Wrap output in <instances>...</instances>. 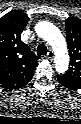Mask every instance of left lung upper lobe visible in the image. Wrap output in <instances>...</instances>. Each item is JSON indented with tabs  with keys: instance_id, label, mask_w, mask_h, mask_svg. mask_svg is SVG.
<instances>
[{
	"instance_id": "5c2ea615",
	"label": "left lung upper lobe",
	"mask_w": 81,
	"mask_h": 124,
	"mask_svg": "<svg viewBox=\"0 0 81 124\" xmlns=\"http://www.w3.org/2000/svg\"><path fill=\"white\" fill-rule=\"evenodd\" d=\"M66 37L69 47L70 68L62 77L77 89L81 88V20L70 17L65 21Z\"/></svg>"
}]
</instances>
